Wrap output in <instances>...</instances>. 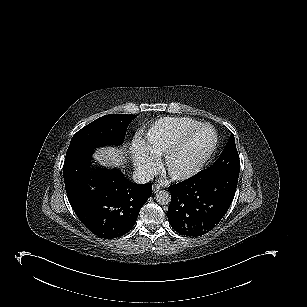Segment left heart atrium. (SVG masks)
Instances as JSON below:
<instances>
[{
	"label": "left heart atrium",
	"instance_id": "1",
	"mask_svg": "<svg viewBox=\"0 0 307 307\" xmlns=\"http://www.w3.org/2000/svg\"><path fill=\"white\" fill-rule=\"evenodd\" d=\"M165 183H169L167 180L164 181Z\"/></svg>",
	"mask_w": 307,
	"mask_h": 307
}]
</instances>
